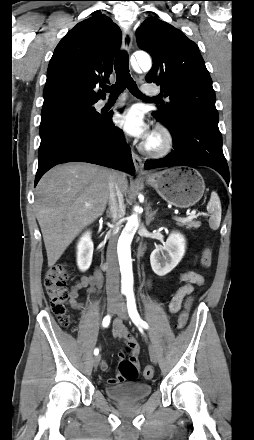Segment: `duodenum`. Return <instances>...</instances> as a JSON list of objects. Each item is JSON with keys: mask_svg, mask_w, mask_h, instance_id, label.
I'll list each match as a JSON object with an SVG mask.
<instances>
[{"mask_svg": "<svg viewBox=\"0 0 254 440\" xmlns=\"http://www.w3.org/2000/svg\"><path fill=\"white\" fill-rule=\"evenodd\" d=\"M143 252H144V248H143V247H141V248L139 249V255H142V254H143Z\"/></svg>", "mask_w": 254, "mask_h": 440, "instance_id": "410a0bca", "label": "duodenum"}]
</instances>
